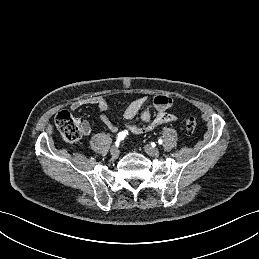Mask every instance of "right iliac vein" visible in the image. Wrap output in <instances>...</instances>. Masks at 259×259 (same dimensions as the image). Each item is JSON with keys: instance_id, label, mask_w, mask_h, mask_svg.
<instances>
[{"instance_id": "1", "label": "right iliac vein", "mask_w": 259, "mask_h": 259, "mask_svg": "<svg viewBox=\"0 0 259 259\" xmlns=\"http://www.w3.org/2000/svg\"><path fill=\"white\" fill-rule=\"evenodd\" d=\"M110 154L114 159H117L120 154L119 148L117 146H113L110 149Z\"/></svg>"}]
</instances>
